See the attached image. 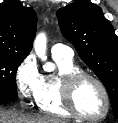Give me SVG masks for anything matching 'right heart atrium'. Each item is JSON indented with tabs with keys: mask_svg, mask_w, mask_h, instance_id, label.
Listing matches in <instances>:
<instances>
[{
	"mask_svg": "<svg viewBox=\"0 0 118 123\" xmlns=\"http://www.w3.org/2000/svg\"><path fill=\"white\" fill-rule=\"evenodd\" d=\"M41 80L42 75L35 58L32 55L25 57L15 72V83L22 103H28L36 99Z\"/></svg>",
	"mask_w": 118,
	"mask_h": 123,
	"instance_id": "right-heart-atrium-1",
	"label": "right heart atrium"
}]
</instances>
